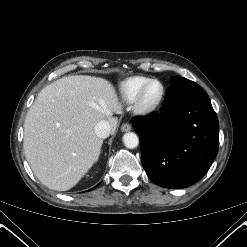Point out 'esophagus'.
Returning <instances> with one entry per match:
<instances>
[{"label":"esophagus","mask_w":247,"mask_h":247,"mask_svg":"<svg viewBox=\"0 0 247 247\" xmlns=\"http://www.w3.org/2000/svg\"><path fill=\"white\" fill-rule=\"evenodd\" d=\"M121 130L123 132H127V131H130L131 130V125L129 123H124L121 127Z\"/></svg>","instance_id":"obj_1"}]
</instances>
